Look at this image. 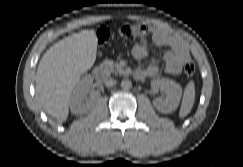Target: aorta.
Segmentation results:
<instances>
[{
  "label": "aorta",
  "instance_id": "762f6f07",
  "mask_svg": "<svg viewBox=\"0 0 243 167\" xmlns=\"http://www.w3.org/2000/svg\"><path fill=\"white\" fill-rule=\"evenodd\" d=\"M132 87V82L129 79H124L121 81V88L124 90H129Z\"/></svg>",
  "mask_w": 243,
  "mask_h": 167
}]
</instances>
